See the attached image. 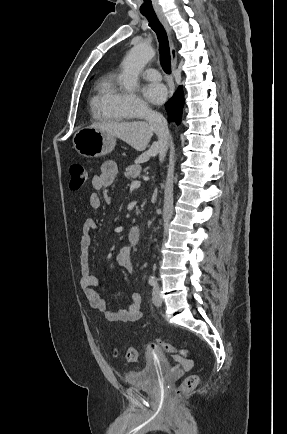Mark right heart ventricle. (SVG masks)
I'll return each mask as SVG.
<instances>
[{"mask_svg":"<svg viewBox=\"0 0 287 434\" xmlns=\"http://www.w3.org/2000/svg\"><path fill=\"white\" fill-rule=\"evenodd\" d=\"M120 94L114 74L108 73L100 77L94 86L90 102L93 116L108 122L127 121L129 115L120 106Z\"/></svg>","mask_w":287,"mask_h":434,"instance_id":"obj_1","label":"right heart ventricle"}]
</instances>
